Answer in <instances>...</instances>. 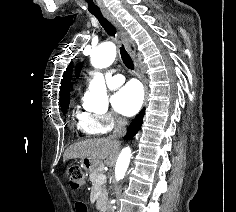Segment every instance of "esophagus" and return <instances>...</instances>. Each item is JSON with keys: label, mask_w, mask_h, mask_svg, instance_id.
I'll use <instances>...</instances> for the list:
<instances>
[{"label": "esophagus", "mask_w": 236, "mask_h": 212, "mask_svg": "<svg viewBox=\"0 0 236 212\" xmlns=\"http://www.w3.org/2000/svg\"><path fill=\"white\" fill-rule=\"evenodd\" d=\"M103 15L115 26V28L117 30L118 38L121 40V42L125 46V48L128 51H131L130 38L128 36V33L124 30V28L119 23V21L112 14L103 13ZM146 95H147V89H146Z\"/></svg>", "instance_id": "obj_1"}]
</instances>
